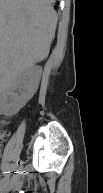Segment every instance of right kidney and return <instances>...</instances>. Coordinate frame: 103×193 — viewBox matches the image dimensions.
Here are the masks:
<instances>
[{
    "label": "right kidney",
    "mask_w": 103,
    "mask_h": 193,
    "mask_svg": "<svg viewBox=\"0 0 103 193\" xmlns=\"http://www.w3.org/2000/svg\"><path fill=\"white\" fill-rule=\"evenodd\" d=\"M42 68L32 66L8 82H1L0 111L5 116L17 114L38 89ZM19 89L20 94L15 93Z\"/></svg>",
    "instance_id": "right-kidney-1"
}]
</instances>
